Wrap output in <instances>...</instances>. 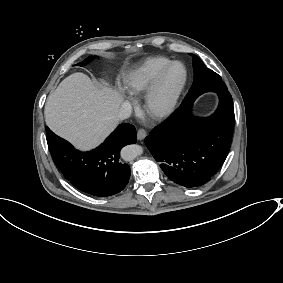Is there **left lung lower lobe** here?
I'll list each match as a JSON object with an SVG mask.
<instances>
[{
    "label": "left lung lower lobe",
    "instance_id": "obj_1",
    "mask_svg": "<svg viewBox=\"0 0 283 283\" xmlns=\"http://www.w3.org/2000/svg\"><path fill=\"white\" fill-rule=\"evenodd\" d=\"M220 99L216 112L207 118L190 114L193 102H182L145 143L166 176L191 188L205 184L217 173L231 145L234 107L228 91H215Z\"/></svg>",
    "mask_w": 283,
    "mask_h": 283
}]
</instances>
